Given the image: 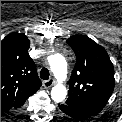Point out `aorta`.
I'll use <instances>...</instances> for the list:
<instances>
[{"label":"aorta","instance_id":"1","mask_svg":"<svg viewBox=\"0 0 122 122\" xmlns=\"http://www.w3.org/2000/svg\"><path fill=\"white\" fill-rule=\"evenodd\" d=\"M49 64L51 71L58 81L51 90V98L54 102L59 103L62 102L67 95V89L62 84V81L67 77V62L63 55L55 54L51 57Z\"/></svg>","mask_w":122,"mask_h":122}]
</instances>
